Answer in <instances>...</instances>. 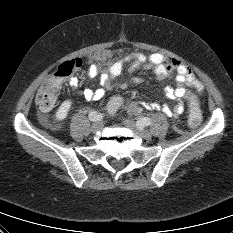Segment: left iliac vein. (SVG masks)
Returning a JSON list of instances; mask_svg holds the SVG:
<instances>
[{
    "label": "left iliac vein",
    "mask_w": 233,
    "mask_h": 233,
    "mask_svg": "<svg viewBox=\"0 0 233 233\" xmlns=\"http://www.w3.org/2000/svg\"><path fill=\"white\" fill-rule=\"evenodd\" d=\"M124 124L131 130H136L139 132L140 136L144 139H150L151 133L143 128L142 125L136 124L132 120H125Z\"/></svg>",
    "instance_id": "left-iliac-vein-1"
}]
</instances>
